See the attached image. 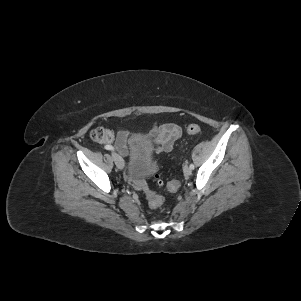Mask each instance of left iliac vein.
<instances>
[{
    "label": "left iliac vein",
    "instance_id": "1",
    "mask_svg": "<svg viewBox=\"0 0 301 301\" xmlns=\"http://www.w3.org/2000/svg\"><path fill=\"white\" fill-rule=\"evenodd\" d=\"M183 172H184V175H185V176H190L191 173H192L190 167H188V166H184Z\"/></svg>",
    "mask_w": 301,
    "mask_h": 301
}]
</instances>
